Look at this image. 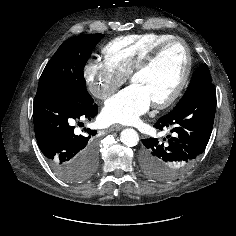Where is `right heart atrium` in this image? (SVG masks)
I'll use <instances>...</instances> for the list:
<instances>
[{"mask_svg": "<svg viewBox=\"0 0 236 236\" xmlns=\"http://www.w3.org/2000/svg\"><path fill=\"white\" fill-rule=\"evenodd\" d=\"M83 76L90 92L99 99H106L126 80L106 59H90L84 66Z\"/></svg>", "mask_w": 236, "mask_h": 236, "instance_id": "obj_1", "label": "right heart atrium"}]
</instances>
